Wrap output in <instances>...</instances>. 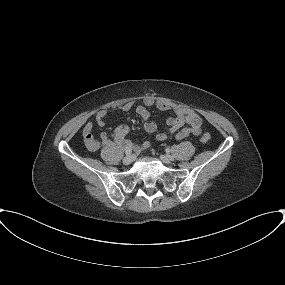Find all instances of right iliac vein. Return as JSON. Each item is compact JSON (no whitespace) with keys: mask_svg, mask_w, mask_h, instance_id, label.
<instances>
[{"mask_svg":"<svg viewBox=\"0 0 285 285\" xmlns=\"http://www.w3.org/2000/svg\"><path fill=\"white\" fill-rule=\"evenodd\" d=\"M134 161V156L133 155H127L123 158V163L125 165H129Z\"/></svg>","mask_w":285,"mask_h":285,"instance_id":"1","label":"right iliac vein"}]
</instances>
